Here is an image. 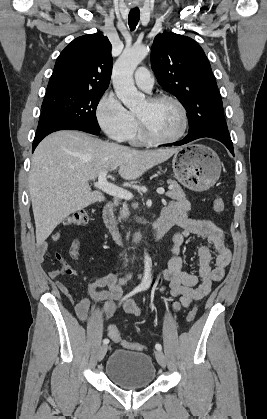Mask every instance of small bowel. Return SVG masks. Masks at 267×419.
<instances>
[{
	"mask_svg": "<svg viewBox=\"0 0 267 419\" xmlns=\"http://www.w3.org/2000/svg\"><path fill=\"white\" fill-rule=\"evenodd\" d=\"M188 200H179L172 202L163 213L181 228L173 238L171 248L172 256L168 262L167 268L159 274V279L169 283L168 288L161 286L160 289L165 294L177 298L174 303V309L182 307L187 308L192 301L205 298L211 291L215 282L223 279L226 267L231 261V252L226 244L225 236L221 228L210 220H196L188 216L190 210ZM191 235H197L206 239L208 245L200 246L198 249L199 272L192 274L183 269V260L180 257V250L186 238ZM59 234H54L53 239H57ZM82 235L73 240L69 248V254L76 257L80 250ZM47 243L41 242L36 246V258L40 262L45 261ZM215 253L214 267L211 266V252ZM51 278L55 279L60 275V271L52 269L48 271ZM127 278L121 274H110L101 277L88 284L86 293L75 303V313L79 320L86 322L90 310V298L96 301H104L105 306L98 314L97 319L103 320L109 317L115 307V302L121 296L122 286ZM59 291L70 301L72 297L67 286L60 280L56 281ZM107 287L108 290H101ZM123 310L126 313L139 315L140 309L131 299L124 304Z\"/></svg>",
	"mask_w": 267,
	"mask_h": 419,
	"instance_id": "small-bowel-1",
	"label": "small bowel"
}]
</instances>
